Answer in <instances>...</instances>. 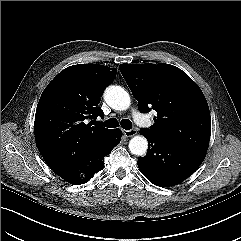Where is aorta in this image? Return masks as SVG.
<instances>
[{"label": "aorta", "mask_w": 241, "mask_h": 241, "mask_svg": "<svg viewBox=\"0 0 241 241\" xmlns=\"http://www.w3.org/2000/svg\"><path fill=\"white\" fill-rule=\"evenodd\" d=\"M106 103L115 110H126L131 104L129 93L121 86L111 85L104 92ZM148 149V141L144 136H134L129 141V150L132 154L143 156Z\"/></svg>", "instance_id": "762f6f07"}]
</instances>
